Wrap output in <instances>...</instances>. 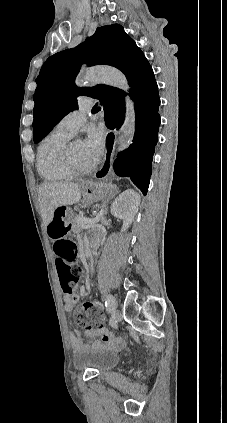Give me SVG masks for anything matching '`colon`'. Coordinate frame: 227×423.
Segmentation results:
<instances>
[{
  "label": "colon",
  "instance_id": "1",
  "mask_svg": "<svg viewBox=\"0 0 227 423\" xmlns=\"http://www.w3.org/2000/svg\"><path fill=\"white\" fill-rule=\"evenodd\" d=\"M50 233L54 240L53 250L61 288L64 294L72 295L81 274V267L76 261V246L68 238V227L64 222H55ZM75 319L78 325L88 330L102 327L100 311L90 302L77 309Z\"/></svg>",
  "mask_w": 227,
  "mask_h": 423
}]
</instances>
